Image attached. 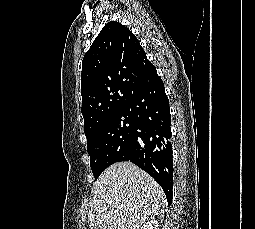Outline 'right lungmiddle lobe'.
Returning a JSON list of instances; mask_svg holds the SVG:
<instances>
[{
    "mask_svg": "<svg viewBox=\"0 0 255 229\" xmlns=\"http://www.w3.org/2000/svg\"><path fill=\"white\" fill-rule=\"evenodd\" d=\"M133 133L134 120L121 111L102 123L87 138V151L95 179L110 165L129 158Z\"/></svg>",
    "mask_w": 255,
    "mask_h": 229,
    "instance_id": "obj_1",
    "label": "right lung middle lobe"
}]
</instances>
